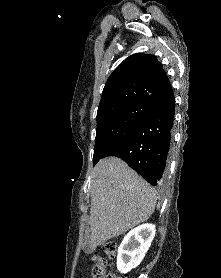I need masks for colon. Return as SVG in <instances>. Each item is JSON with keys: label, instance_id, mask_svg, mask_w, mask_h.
I'll list each match as a JSON object with an SVG mask.
<instances>
[{"label": "colon", "instance_id": "1", "mask_svg": "<svg viewBox=\"0 0 221 278\" xmlns=\"http://www.w3.org/2000/svg\"><path fill=\"white\" fill-rule=\"evenodd\" d=\"M103 250L110 259H115L117 255V244L113 241L104 243ZM96 265L91 270V278H127L116 274H107L105 271V260L101 257H96Z\"/></svg>", "mask_w": 221, "mask_h": 278}]
</instances>
